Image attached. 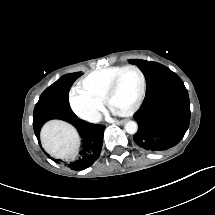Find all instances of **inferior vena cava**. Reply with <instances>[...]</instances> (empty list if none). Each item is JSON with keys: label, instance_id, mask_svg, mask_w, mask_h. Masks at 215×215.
I'll list each match as a JSON object with an SVG mask.
<instances>
[{"label": "inferior vena cava", "instance_id": "obj_1", "mask_svg": "<svg viewBox=\"0 0 215 215\" xmlns=\"http://www.w3.org/2000/svg\"><path fill=\"white\" fill-rule=\"evenodd\" d=\"M82 118L91 123H98L101 121L102 116L99 111H88L83 113Z\"/></svg>", "mask_w": 215, "mask_h": 215}]
</instances>
